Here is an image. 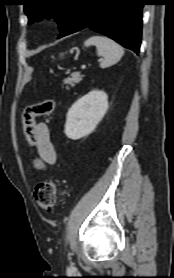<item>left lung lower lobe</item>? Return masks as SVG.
Listing matches in <instances>:
<instances>
[{
	"label": "left lung lower lobe",
	"mask_w": 174,
	"mask_h": 278,
	"mask_svg": "<svg viewBox=\"0 0 174 278\" xmlns=\"http://www.w3.org/2000/svg\"><path fill=\"white\" fill-rule=\"evenodd\" d=\"M143 5L144 0H81L58 38L90 28L138 53Z\"/></svg>",
	"instance_id": "0a47b994"
}]
</instances>
